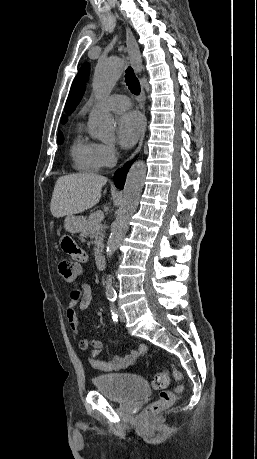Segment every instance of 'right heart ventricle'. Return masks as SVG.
<instances>
[{"label":"right heart ventricle","instance_id":"right-heart-ventricle-1","mask_svg":"<svg viewBox=\"0 0 257 459\" xmlns=\"http://www.w3.org/2000/svg\"><path fill=\"white\" fill-rule=\"evenodd\" d=\"M74 167L79 171L95 172L101 167L98 158V143L78 133L70 149Z\"/></svg>","mask_w":257,"mask_h":459}]
</instances>
